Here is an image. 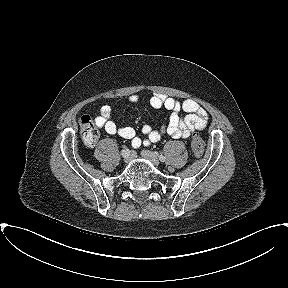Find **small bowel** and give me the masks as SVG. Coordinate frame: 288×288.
Listing matches in <instances>:
<instances>
[{
	"mask_svg": "<svg viewBox=\"0 0 288 288\" xmlns=\"http://www.w3.org/2000/svg\"><path fill=\"white\" fill-rule=\"evenodd\" d=\"M129 100L137 102L138 96L131 95ZM150 105L154 109H166L170 115L165 123L158 130L150 125L142 128L145 138L136 136L135 130L128 126L120 127L113 120V113L109 106H103L99 115L95 119L96 126L104 129L110 135H118L124 139L131 140L133 148H139L141 145H148L159 141L164 134L175 139L188 138L195 130H204L207 126L208 114L196 101L187 99L178 102L173 98L156 94L151 97ZM187 113L185 117L180 116V112Z\"/></svg>",
	"mask_w": 288,
	"mask_h": 288,
	"instance_id": "obj_1",
	"label": "small bowel"
}]
</instances>
